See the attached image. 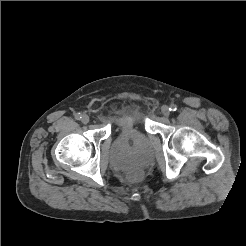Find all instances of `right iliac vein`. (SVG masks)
Here are the masks:
<instances>
[{
    "instance_id": "63e3f726",
    "label": "right iliac vein",
    "mask_w": 246,
    "mask_h": 246,
    "mask_svg": "<svg viewBox=\"0 0 246 246\" xmlns=\"http://www.w3.org/2000/svg\"><path fill=\"white\" fill-rule=\"evenodd\" d=\"M81 121L83 124H87V123H89L90 118L88 115L84 114V115H82Z\"/></svg>"
}]
</instances>
